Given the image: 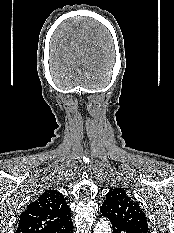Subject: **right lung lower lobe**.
Listing matches in <instances>:
<instances>
[{
    "mask_svg": "<svg viewBox=\"0 0 174 233\" xmlns=\"http://www.w3.org/2000/svg\"><path fill=\"white\" fill-rule=\"evenodd\" d=\"M73 225L70 226L68 229H65L64 231H60L59 233H72Z\"/></svg>",
    "mask_w": 174,
    "mask_h": 233,
    "instance_id": "right-lung-lower-lobe-1",
    "label": "right lung lower lobe"
}]
</instances>
